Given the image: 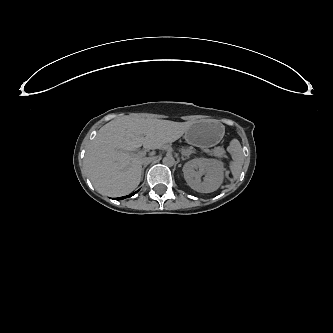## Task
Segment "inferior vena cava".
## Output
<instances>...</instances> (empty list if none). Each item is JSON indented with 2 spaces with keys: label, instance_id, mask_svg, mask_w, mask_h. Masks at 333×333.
<instances>
[{
  "label": "inferior vena cava",
  "instance_id": "1",
  "mask_svg": "<svg viewBox=\"0 0 333 333\" xmlns=\"http://www.w3.org/2000/svg\"><path fill=\"white\" fill-rule=\"evenodd\" d=\"M154 160V157H149V158H144L142 160V164L145 166V165H148L150 164L152 161Z\"/></svg>",
  "mask_w": 333,
  "mask_h": 333
}]
</instances>
